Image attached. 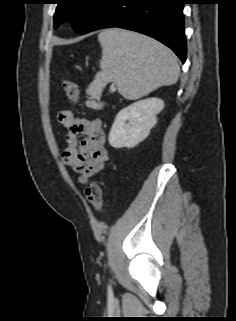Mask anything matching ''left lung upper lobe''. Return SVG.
<instances>
[{"mask_svg":"<svg viewBox=\"0 0 236 321\" xmlns=\"http://www.w3.org/2000/svg\"><path fill=\"white\" fill-rule=\"evenodd\" d=\"M107 0H57L54 27L68 19L76 32H81Z\"/></svg>","mask_w":236,"mask_h":321,"instance_id":"left-lung-upper-lobe-1","label":"left lung upper lobe"}]
</instances>
